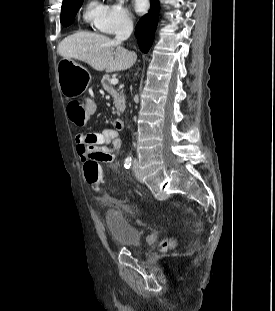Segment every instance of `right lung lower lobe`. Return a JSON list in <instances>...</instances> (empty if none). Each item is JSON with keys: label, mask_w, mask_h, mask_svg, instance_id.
I'll return each mask as SVG.
<instances>
[{"label": "right lung lower lobe", "mask_w": 275, "mask_h": 311, "mask_svg": "<svg viewBox=\"0 0 275 311\" xmlns=\"http://www.w3.org/2000/svg\"><path fill=\"white\" fill-rule=\"evenodd\" d=\"M151 8L144 17H142L136 25V37L138 45L142 52L147 53L152 45L154 33L158 22L159 1L150 0Z\"/></svg>", "instance_id": "1"}]
</instances>
